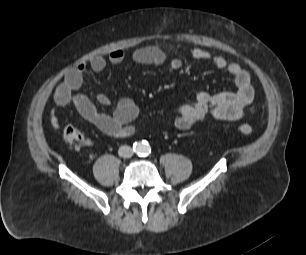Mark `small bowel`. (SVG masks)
I'll return each instance as SVG.
<instances>
[{
    "label": "small bowel",
    "instance_id": "obj_1",
    "mask_svg": "<svg viewBox=\"0 0 306 255\" xmlns=\"http://www.w3.org/2000/svg\"><path fill=\"white\" fill-rule=\"evenodd\" d=\"M189 55L195 60L210 61L217 69L227 71L233 77L236 91H226L214 95L199 92L194 103L180 104L176 108L173 126L183 131L209 118L222 121L241 119L245 108L252 103L255 95L249 72L237 62H229L224 56L202 48L190 49ZM130 57L133 62L142 65L160 66L167 60L165 52L156 46L136 49ZM124 60V51L114 49L107 57L97 55L88 62H80L71 67L55 89L54 102L58 106L71 103L83 119L110 137L131 136L135 131L133 122L140 113L139 106L135 101L128 97H122L118 100L114 111L107 114L99 112L87 96L76 93L82 86L83 76L88 68L94 72H101L108 64L118 66ZM182 66V59L173 58L168 64V69L170 72H174ZM97 101L103 106L110 104L109 96L104 93L97 96ZM50 123L55 129L60 127L59 120L54 113H51Z\"/></svg>",
    "mask_w": 306,
    "mask_h": 255
}]
</instances>
